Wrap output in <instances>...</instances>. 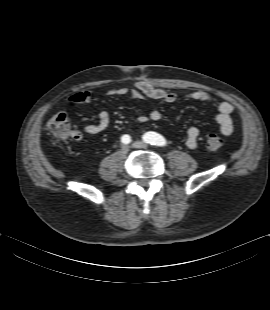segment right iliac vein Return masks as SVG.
<instances>
[{
    "mask_svg": "<svg viewBox=\"0 0 270 310\" xmlns=\"http://www.w3.org/2000/svg\"><path fill=\"white\" fill-rule=\"evenodd\" d=\"M128 151H129V147H128L127 145H123V146L121 147V152H122V153L126 154Z\"/></svg>",
    "mask_w": 270,
    "mask_h": 310,
    "instance_id": "right-iliac-vein-1",
    "label": "right iliac vein"
}]
</instances>
